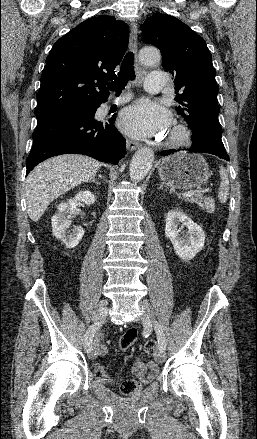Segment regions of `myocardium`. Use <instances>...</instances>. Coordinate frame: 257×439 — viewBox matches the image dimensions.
Instances as JSON below:
<instances>
[{
  "label": "myocardium",
  "instance_id": "f54148a6",
  "mask_svg": "<svg viewBox=\"0 0 257 439\" xmlns=\"http://www.w3.org/2000/svg\"><path fill=\"white\" fill-rule=\"evenodd\" d=\"M191 133L187 127L177 124L171 130V136L165 141L168 148L176 149L190 143Z\"/></svg>",
  "mask_w": 257,
  "mask_h": 439
}]
</instances>
